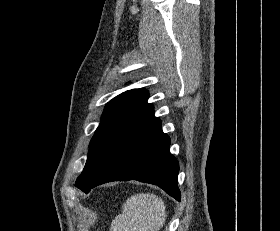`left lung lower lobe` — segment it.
<instances>
[{
	"label": "left lung lower lobe",
	"instance_id": "1",
	"mask_svg": "<svg viewBox=\"0 0 280 231\" xmlns=\"http://www.w3.org/2000/svg\"><path fill=\"white\" fill-rule=\"evenodd\" d=\"M169 137L154 113L115 134L99 151L82 178L80 190L111 181L138 180L158 185L180 201L178 161L169 152Z\"/></svg>",
	"mask_w": 280,
	"mask_h": 231
}]
</instances>
